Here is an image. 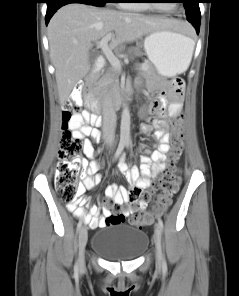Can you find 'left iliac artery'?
<instances>
[{
  "instance_id": "44dca946",
  "label": "left iliac artery",
  "mask_w": 239,
  "mask_h": 296,
  "mask_svg": "<svg viewBox=\"0 0 239 296\" xmlns=\"http://www.w3.org/2000/svg\"><path fill=\"white\" fill-rule=\"evenodd\" d=\"M126 146L129 149V147H130L129 143L126 144ZM157 218H158V225H159L160 229L163 230V221L160 218V216H158ZM162 268H163V271H167V263H166L165 259H163Z\"/></svg>"
}]
</instances>
